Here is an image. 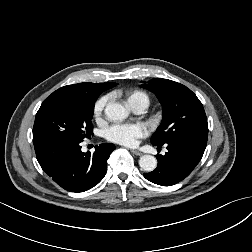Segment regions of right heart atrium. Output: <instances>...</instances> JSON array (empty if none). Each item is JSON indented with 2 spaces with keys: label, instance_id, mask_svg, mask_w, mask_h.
Returning <instances> with one entry per match:
<instances>
[{
  "label": "right heart atrium",
  "instance_id": "1",
  "mask_svg": "<svg viewBox=\"0 0 252 252\" xmlns=\"http://www.w3.org/2000/svg\"><path fill=\"white\" fill-rule=\"evenodd\" d=\"M107 102H108V98L106 96L101 97L100 99L96 101L93 108V114H94L95 119L101 118Z\"/></svg>",
  "mask_w": 252,
  "mask_h": 252
}]
</instances>
